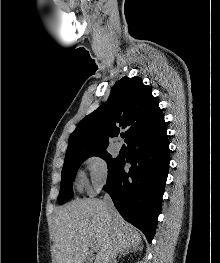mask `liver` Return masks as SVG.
<instances>
[{
    "label": "liver",
    "instance_id": "6515ba94",
    "mask_svg": "<svg viewBox=\"0 0 220 263\" xmlns=\"http://www.w3.org/2000/svg\"><path fill=\"white\" fill-rule=\"evenodd\" d=\"M55 263H84L97 245L94 263H110L119 252L137 246L140 233L102 200L76 199L60 207L54 220Z\"/></svg>",
    "mask_w": 220,
    "mask_h": 263
}]
</instances>
